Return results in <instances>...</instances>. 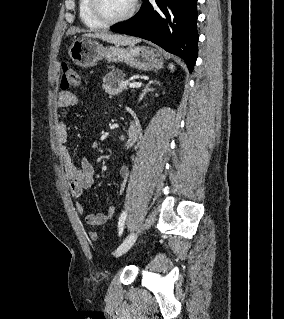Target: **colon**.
<instances>
[{
	"label": "colon",
	"mask_w": 284,
	"mask_h": 319,
	"mask_svg": "<svg viewBox=\"0 0 284 319\" xmlns=\"http://www.w3.org/2000/svg\"><path fill=\"white\" fill-rule=\"evenodd\" d=\"M80 76L78 72L63 64L62 66V77L60 87L62 91H67L72 87H76L80 84ZM89 237L92 241H97L98 236L95 232H90Z\"/></svg>",
	"instance_id": "1"
}]
</instances>
